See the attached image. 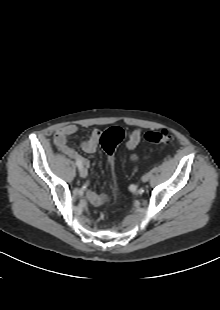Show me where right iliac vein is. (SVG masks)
I'll return each mask as SVG.
<instances>
[{"label": "right iliac vein", "instance_id": "63e3f726", "mask_svg": "<svg viewBox=\"0 0 220 310\" xmlns=\"http://www.w3.org/2000/svg\"><path fill=\"white\" fill-rule=\"evenodd\" d=\"M79 174H80V176L82 177V178H85L86 176H87V170L85 169V168H81L80 170H79Z\"/></svg>", "mask_w": 220, "mask_h": 310}]
</instances>
